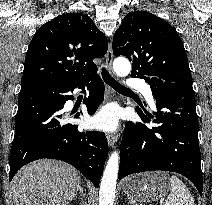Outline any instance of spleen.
I'll return each instance as SVG.
<instances>
[{
    "label": "spleen",
    "instance_id": "3e777b00",
    "mask_svg": "<svg viewBox=\"0 0 212 205\" xmlns=\"http://www.w3.org/2000/svg\"><path fill=\"white\" fill-rule=\"evenodd\" d=\"M169 182L170 194L164 205H195L190 191L177 176H171Z\"/></svg>",
    "mask_w": 212,
    "mask_h": 205
}]
</instances>
